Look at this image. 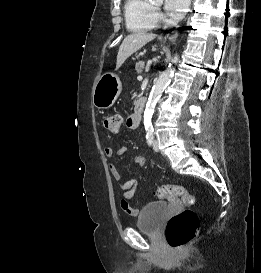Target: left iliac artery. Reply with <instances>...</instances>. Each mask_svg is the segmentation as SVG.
Listing matches in <instances>:
<instances>
[{
  "label": "left iliac artery",
  "mask_w": 261,
  "mask_h": 273,
  "mask_svg": "<svg viewBox=\"0 0 261 273\" xmlns=\"http://www.w3.org/2000/svg\"><path fill=\"white\" fill-rule=\"evenodd\" d=\"M146 130H147V134H146L147 143L149 145H151L152 142H153V139H154L153 129L152 128H148Z\"/></svg>",
  "instance_id": "44dca946"
}]
</instances>
